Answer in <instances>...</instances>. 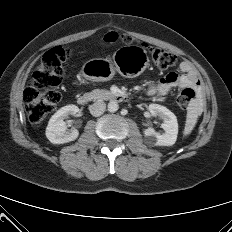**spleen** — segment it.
Here are the masks:
<instances>
[{
    "label": "spleen",
    "instance_id": "1",
    "mask_svg": "<svg viewBox=\"0 0 232 232\" xmlns=\"http://www.w3.org/2000/svg\"><path fill=\"white\" fill-rule=\"evenodd\" d=\"M199 114V105L196 100H192L187 108L186 123L184 128V135H189L194 129Z\"/></svg>",
    "mask_w": 232,
    "mask_h": 232
}]
</instances>
